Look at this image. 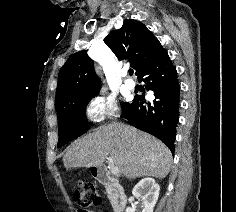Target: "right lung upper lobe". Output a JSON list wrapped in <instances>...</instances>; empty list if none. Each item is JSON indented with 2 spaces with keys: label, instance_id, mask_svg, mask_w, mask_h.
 Returning a JSON list of instances; mask_svg holds the SVG:
<instances>
[{
  "label": "right lung upper lobe",
  "instance_id": "right-lung-upper-lobe-1",
  "mask_svg": "<svg viewBox=\"0 0 236 212\" xmlns=\"http://www.w3.org/2000/svg\"><path fill=\"white\" fill-rule=\"evenodd\" d=\"M104 42L119 60L128 59L131 62L137 76L161 46L144 24L133 19L124 20L123 26L107 35ZM86 52L73 54L59 71L57 111L80 97L98 93L100 89V79Z\"/></svg>",
  "mask_w": 236,
  "mask_h": 212
}]
</instances>
